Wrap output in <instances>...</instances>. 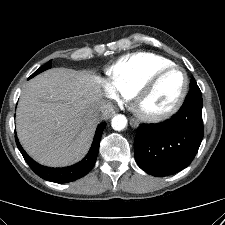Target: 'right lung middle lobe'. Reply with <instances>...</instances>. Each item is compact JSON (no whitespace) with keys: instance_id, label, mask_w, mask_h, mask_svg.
I'll return each mask as SVG.
<instances>
[{"instance_id":"1","label":"right lung middle lobe","mask_w":225,"mask_h":225,"mask_svg":"<svg viewBox=\"0 0 225 225\" xmlns=\"http://www.w3.org/2000/svg\"><path fill=\"white\" fill-rule=\"evenodd\" d=\"M50 67H51V60L48 63H46L45 65H43L42 67H40L39 69H37L29 78L34 77L35 75L49 69Z\"/></svg>"}]
</instances>
